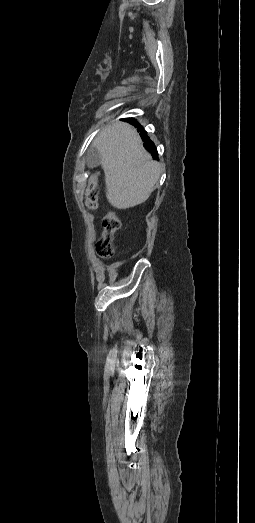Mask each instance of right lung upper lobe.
I'll use <instances>...</instances> for the list:
<instances>
[{"label":"right lung upper lobe","instance_id":"cb5924a9","mask_svg":"<svg viewBox=\"0 0 255 523\" xmlns=\"http://www.w3.org/2000/svg\"><path fill=\"white\" fill-rule=\"evenodd\" d=\"M131 122H134V124L138 127V130L140 132H143L141 133V137H142V140L144 141V146L145 148L152 154L153 158H157L158 157V153H157V150H156V147L154 145V143L150 140V138L147 136L146 132H144L142 130V127L141 125H139L138 123L135 122L134 119H129Z\"/></svg>","mask_w":255,"mask_h":523}]
</instances>
